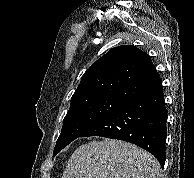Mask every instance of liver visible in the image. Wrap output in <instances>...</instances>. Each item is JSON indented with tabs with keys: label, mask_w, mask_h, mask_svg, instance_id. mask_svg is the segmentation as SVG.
Listing matches in <instances>:
<instances>
[{
	"label": "liver",
	"mask_w": 194,
	"mask_h": 178,
	"mask_svg": "<svg viewBox=\"0 0 194 178\" xmlns=\"http://www.w3.org/2000/svg\"><path fill=\"white\" fill-rule=\"evenodd\" d=\"M62 178H161V167L149 152L136 145L104 139L78 147Z\"/></svg>",
	"instance_id": "6515ba94"
}]
</instances>
